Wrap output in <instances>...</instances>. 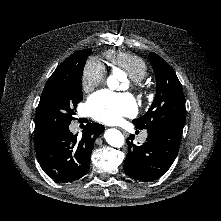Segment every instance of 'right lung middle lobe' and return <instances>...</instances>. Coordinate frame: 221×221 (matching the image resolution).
Returning <instances> with one entry per match:
<instances>
[{"mask_svg":"<svg viewBox=\"0 0 221 221\" xmlns=\"http://www.w3.org/2000/svg\"><path fill=\"white\" fill-rule=\"evenodd\" d=\"M90 53L85 49L67 68L50 76L37 108L35 134L71 124L76 106L83 99L81 77Z\"/></svg>","mask_w":221,"mask_h":221,"instance_id":"1","label":"right lung middle lobe"}]
</instances>
